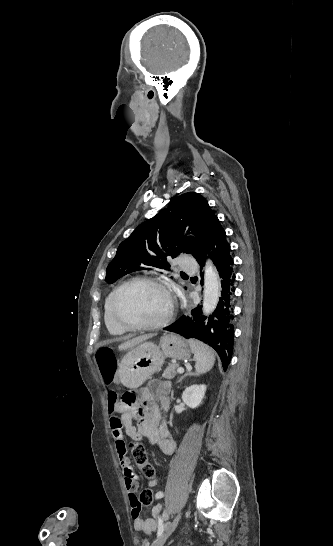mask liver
<instances>
[{"label":"liver","mask_w":333,"mask_h":546,"mask_svg":"<svg viewBox=\"0 0 333 546\" xmlns=\"http://www.w3.org/2000/svg\"><path fill=\"white\" fill-rule=\"evenodd\" d=\"M152 338V335H142V336H138V337H135L131 340H128L122 344H120L118 346V349L123 351V350H128V349H133L134 347H136L137 345H139L140 343L148 340Z\"/></svg>","instance_id":"liver-1"}]
</instances>
